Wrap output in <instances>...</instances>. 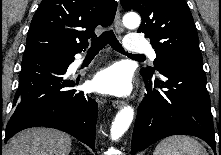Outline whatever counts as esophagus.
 Returning a JSON list of instances; mask_svg holds the SVG:
<instances>
[{
    "label": "esophagus",
    "mask_w": 221,
    "mask_h": 155,
    "mask_svg": "<svg viewBox=\"0 0 221 155\" xmlns=\"http://www.w3.org/2000/svg\"><path fill=\"white\" fill-rule=\"evenodd\" d=\"M114 26H115V29H116L118 34L123 33L124 26H123L122 21H121V15H120L119 8L117 9V12H116V15H115ZM113 106L115 108H122L124 106V101L114 100L113 101Z\"/></svg>",
    "instance_id": "obj_1"
}]
</instances>
